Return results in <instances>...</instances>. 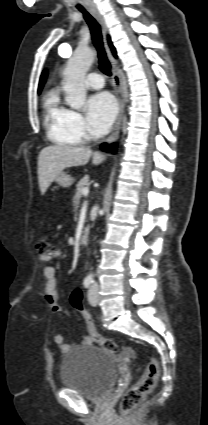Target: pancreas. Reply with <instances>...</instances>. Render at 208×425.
Instances as JSON below:
<instances>
[{
	"instance_id": "1",
	"label": "pancreas",
	"mask_w": 208,
	"mask_h": 425,
	"mask_svg": "<svg viewBox=\"0 0 208 425\" xmlns=\"http://www.w3.org/2000/svg\"><path fill=\"white\" fill-rule=\"evenodd\" d=\"M89 186V177L85 176L83 177L78 184L76 185V193L75 196L73 198L74 204L77 206L79 204V199L82 196V191L84 188H88Z\"/></svg>"
}]
</instances>
